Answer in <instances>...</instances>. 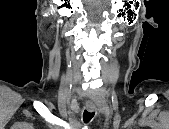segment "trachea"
Here are the masks:
<instances>
[{"label":"trachea","instance_id":"trachea-1","mask_svg":"<svg viewBox=\"0 0 169 129\" xmlns=\"http://www.w3.org/2000/svg\"><path fill=\"white\" fill-rule=\"evenodd\" d=\"M95 112H90L88 110H84L83 112V121L85 123H89L91 121V119L94 117Z\"/></svg>","mask_w":169,"mask_h":129}]
</instances>
